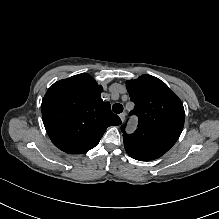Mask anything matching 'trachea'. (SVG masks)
Returning a JSON list of instances; mask_svg holds the SVG:
<instances>
[{"label": "trachea", "instance_id": "obj_1", "mask_svg": "<svg viewBox=\"0 0 219 219\" xmlns=\"http://www.w3.org/2000/svg\"><path fill=\"white\" fill-rule=\"evenodd\" d=\"M112 110L114 113L119 114L123 111V106H122V104H119V103L114 104L112 107Z\"/></svg>", "mask_w": 219, "mask_h": 219}]
</instances>
